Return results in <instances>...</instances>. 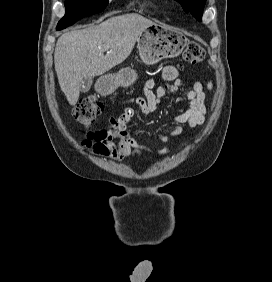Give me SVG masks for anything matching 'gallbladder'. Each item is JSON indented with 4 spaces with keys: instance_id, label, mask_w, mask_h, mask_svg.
<instances>
[{
    "instance_id": "1",
    "label": "gallbladder",
    "mask_w": 272,
    "mask_h": 282,
    "mask_svg": "<svg viewBox=\"0 0 272 282\" xmlns=\"http://www.w3.org/2000/svg\"><path fill=\"white\" fill-rule=\"evenodd\" d=\"M91 85H92V81L87 79L86 82L84 83V85L82 86L81 91L83 93H86L91 88Z\"/></svg>"
}]
</instances>
